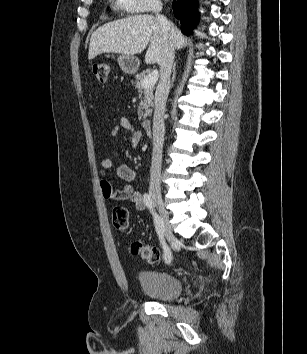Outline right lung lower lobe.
Segmentation results:
<instances>
[{"instance_id": "right-lung-lower-lobe-1", "label": "right lung lower lobe", "mask_w": 307, "mask_h": 354, "mask_svg": "<svg viewBox=\"0 0 307 354\" xmlns=\"http://www.w3.org/2000/svg\"><path fill=\"white\" fill-rule=\"evenodd\" d=\"M198 0H177L173 2L174 15L181 22L182 32L192 33L198 21Z\"/></svg>"}]
</instances>
